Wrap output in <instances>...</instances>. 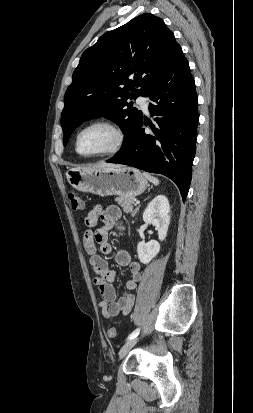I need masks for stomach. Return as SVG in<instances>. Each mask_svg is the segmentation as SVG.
<instances>
[{
	"mask_svg": "<svg viewBox=\"0 0 253 413\" xmlns=\"http://www.w3.org/2000/svg\"><path fill=\"white\" fill-rule=\"evenodd\" d=\"M69 184L81 192L99 196L120 195L134 197L148 187L147 179L138 169L120 166L115 168H71L66 173Z\"/></svg>",
	"mask_w": 253,
	"mask_h": 413,
	"instance_id": "1",
	"label": "stomach"
}]
</instances>
